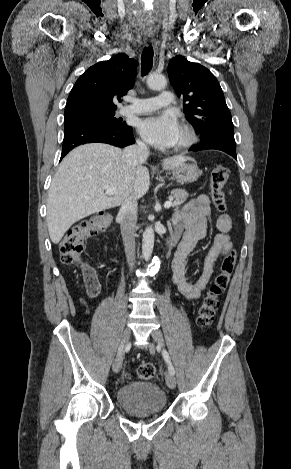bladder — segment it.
<instances>
[{
  "mask_svg": "<svg viewBox=\"0 0 291 469\" xmlns=\"http://www.w3.org/2000/svg\"><path fill=\"white\" fill-rule=\"evenodd\" d=\"M120 407L135 414H156L162 412L167 397L156 384L148 381H133L122 386L117 392Z\"/></svg>",
  "mask_w": 291,
  "mask_h": 469,
  "instance_id": "bladder-1",
  "label": "bladder"
}]
</instances>
